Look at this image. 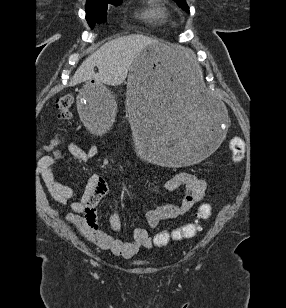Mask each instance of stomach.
I'll return each mask as SVG.
<instances>
[{
  "instance_id": "0dacf381",
  "label": "stomach",
  "mask_w": 286,
  "mask_h": 308,
  "mask_svg": "<svg viewBox=\"0 0 286 308\" xmlns=\"http://www.w3.org/2000/svg\"><path fill=\"white\" fill-rule=\"evenodd\" d=\"M195 51L150 44L133 61L127 83L130 125H138V159L159 168L202 164L218 144H227L224 100L204 86ZM76 108L87 129L119 133L120 110L111 85L90 80L79 89Z\"/></svg>"
}]
</instances>
